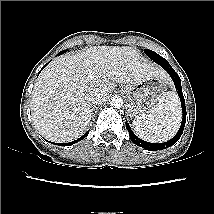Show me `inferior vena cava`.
Masks as SVG:
<instances>
[{"label": "inferior vena cava", "instance_id": "602c4592", "mask_svg": "<svg viewBox=\"0 0 214 214\" xmlns=\"http://www.w3.org/2000/svg\"><path fill=\"white\" fill-rule=\"evenodd\" d=\"M107 92L102 89H97L89 94V101L93 104H101L107 100Z\"/></svg>", "mask_w": 214, "mask_h": 214}]
</instances>
